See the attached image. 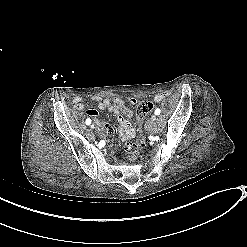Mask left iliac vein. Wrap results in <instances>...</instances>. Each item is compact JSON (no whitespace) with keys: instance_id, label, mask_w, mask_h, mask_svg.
I'll list each match as a JSON object with an SVG mask.
<instances>
[{"instance_id":"4c4485c4","label":"left iliac vein","mask_w":247,"mask_h":247,"mask_svg":"<svg viewBox=\"0 0 247 247\" xmlns=\"http://www.w3.org/2000/svg\"><path fill=\"white\" fill-rule=\"evenodd\" d=\"M151 120H152V122H155L157 120L156 115H152Z\"/></svg>"}]
</instances>
